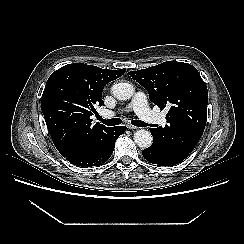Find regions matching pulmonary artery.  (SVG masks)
Returning <instances> with one entry per match:
<instances>
[{
    "label": "pulmonary artery",
    "instance_id": "pulmonary-artery-1",
    "mask_svg": "<svg viewBox=\"0 0 244 244\" xmlns=\"http://www.w3.org/2000/svg\"><path fill=\"white\" fill-rule=\"evenodd\" d=\"M133 110L143 121L150 124L165 125L167 120L165 115L152 111L147 102V97L143 92H137L126 111ZM116 113L114 111H105L103 116L110 118Z\"/></svg>",
    "mask_w": 244,
    "mask_h": 244
}]
</instances>
